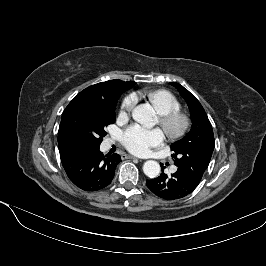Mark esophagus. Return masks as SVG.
I'll list each match as a JSON object with an SVG mask.
<instances>
[{"label": "esophagus", "instance_id": "1", "mask_svg": "<svg viewBox=\"0 0 266 266\" xmlns=\"http://www.w3.org/2000/svg\"><path fill=\"white\" fill-rule=\"evenodd\" d=\"M126 158L127 159H137V160H140L139 158H136V157H134L132 155H126Z\"/></svg>", "mask_w": 266, "mask_h": 266}]
</instances>
